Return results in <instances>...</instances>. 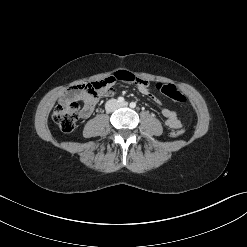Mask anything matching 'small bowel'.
I'll return each mask as SVG.
<instances>
[{
  "label": "small bowel",
  "mask_w": 247,
  "mask_h": 247,
  "mask_svg": "<svg viewBox=\"0 0 247 247\" xmlns=\"http://www.w3.org/2000/svg\"><path fill=\"white\" fill-rule=\"evenodd\" d=\"M114 77L116 80H122L126 82H135L138 90L145 96H148L158 102V99H156L150 92L149 84L147 81L135 78L131 73L127 71H118L114 74ZM115 92V87L103 91L102 95H111ZM75 98L79 100L84 101V96L81 93H76ZM94 111V104L87 103L84 101L83 108L81 110V116L83 118H88L91 116V114ZM162 114L165 117V123L166 125L171 129H177L180 127V121L178 119L177 113L169 108H164L162 110Z\"/></svg>",
  "instance_id": "obj_1"
}]
</instances>
